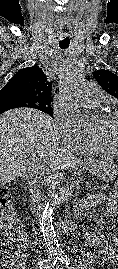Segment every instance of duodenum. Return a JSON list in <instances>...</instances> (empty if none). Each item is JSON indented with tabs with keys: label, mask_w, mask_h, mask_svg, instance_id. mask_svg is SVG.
Instances as JSON below:
<instances>
[{
	"label": "duodenum",
	"mask_w": 118,
	"mask_h": 269,
	"mask_svg": "<svg viewBox=\"0 0 118 269\" xmlns=\"http://www.w3.org/2000/svg\"><path fill=\"white\" fill-rule=\"evenodd\" d=\"M35 209L40 210V206L36 205ZM77 219L68 220L59 224L60 229L65 234H70L76 229Z\"/></svg>",
	"instance_id": "duodenum-1"
}]
</instances>
